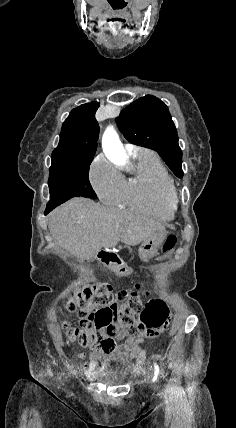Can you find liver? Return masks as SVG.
<instances>
[{"label":"liver","instance_id":"obj_1","mask_svg":"<svg viewBox=\"0 0 236 428\" xmlns=\"http://www.w3.org/2000/svg\"><path fill=\"white\" fill-rule=\"evenodd\" d=\"M48 226L60 248L79 260H92L101 248H114L118 242L137 246L166 232L162 224L143 214L117 212L87 198H73L53 210Z\"/></svg>","mask_w":236,"mask_h":428}]
</instances>
